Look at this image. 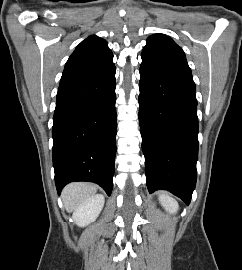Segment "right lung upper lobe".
<instances>
[{
    "mask_svg": "<svg viewBox=\"0 0 242 270\" xmlns=\"http://www.w3.org/2000/svg\"><path fill=\"white\" fill-rule=\"evenodd\" d=\"M113 59L106 40L95 35L86 38L69 57L60 86L78 81L107 65Z\"/></svg>",
    "mask_w": 242,
    "mask_h": 270,
    "instance_id": "cb5924a9",
    "label": "right lung upper lobe"
}]
</instances>
